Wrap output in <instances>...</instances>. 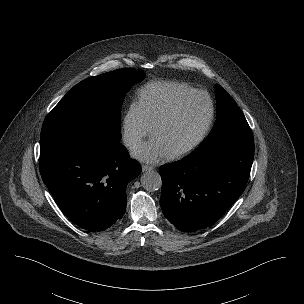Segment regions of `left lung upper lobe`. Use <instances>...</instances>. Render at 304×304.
Returning <instances> with one entry per match:
<instances>
[{"instance_id": "obj_1", "label": "left lung upper lobe", "mask_w": 304, "mask_h": 304, "mask_svg": "<svg viewBox=\"0 0 304 304\" xmlns=\"http://www.w3.org/2000/svg\"><path fill=\"white\" fill-rule=\"evenodd\" d=\"M215 89L217 95L216 123L209 136L193 153L232 139H253L246 118L234 99L220 85L217 84Z\"/></svg>"}]
</instances>
